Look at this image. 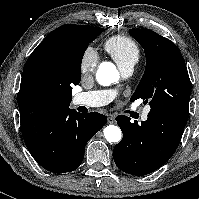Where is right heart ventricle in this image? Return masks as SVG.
Wrapping results in <instances>:
<instances>
[{
	"mask_svg": "<svg viewBox=\"0 0 199 199\" xmlns=\"http://www.w3.org/2000/svg\"><path fill=\"white\" fill-rule=\"evenodd\" d=\"M105 50L122 69L127 66H134L140 57L138 44L125 35H115L108 38L104 44Z\"/></svg>",
	"mask_w": 199,
	"mask_h": 199,
	"instance_id": "e07e8e85",
	"label": "right heart ventricle"
}]
</instances>
